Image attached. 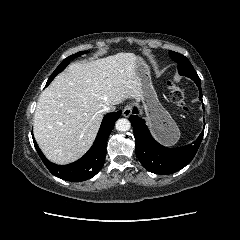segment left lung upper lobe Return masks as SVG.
<instances>
[{
	"instance_id": "5c2ea615",
	"label": "left lung upper lobe",
	"mask_w": 240,
	"mask_h": 240,
	"mask_svg": "<svg viewBox=\"0 0 240 240\" xmlns=\"http://www.w3.org/2000/svg\"><path fill=\"white\" fill-rule=\"evenodd\" d=\"M169 55L171 59L177 63L180 75L187 76L189 78L199 77L194 70V67L185 56L174 51H169Z\"/></svg>"
}]
</instances>
